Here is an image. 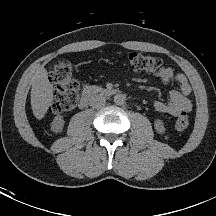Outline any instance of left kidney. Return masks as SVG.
Segmentation results:
<instances>
[{"label":"left kidney","instance_id":"1","mask_svg":"<svg viewBox=\"0 0 216 216\" xmlns=\"http://www.w3.org/2000/svg\"><path fill=\"white\" fill-rule=\"evenodd\" d=\"M154 127H155L156 131L160 134H163L165 132L164 123L160 119L155 120Z\"/></svg>","mask_w":216,"mask_h":216}]
</instances>
